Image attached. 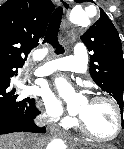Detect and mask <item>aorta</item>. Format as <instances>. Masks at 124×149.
Segmentation results:
<instances>
[{"instance_id": "762f6f07", "label": "aorta", "mask_w": 124, "mask_h": 149, "mask_svg": "<svg viewBox=\"0 0 124 149\" xmlns=\"http://www.w3.org/2000/svg\"><path fill=\"white\" fill-rule=\"evenodd\" d=\"M70 22L74 25L86 27L90 21L83 10L74 9L70 14ZM58 88L60 94L64 97H71L74 95L73 89L62 79L58 80ZM47 149H65L64 142L61 139H55L49 143Z\"/></svg>"}]
</instances>
